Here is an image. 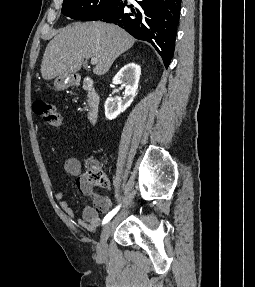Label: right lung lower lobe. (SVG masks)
<instances>
[{
    "instance_id": "1",
    "label": "right lung lower lobe",
    "mask_w": 255,
    "mask_h": 287,
    "mask_svg": "<svg viewBox=\"0 0 255 287\" xmlns=\"http://www.w3.org/2000/svg\"><path fill=\"white\" fill-rule=\"evenodd\" d=\"M181 0H134L119 5L104 22L117 24L133 37L151 43L167 68L174 53Z\"/></svg>"
}]
</instances>
